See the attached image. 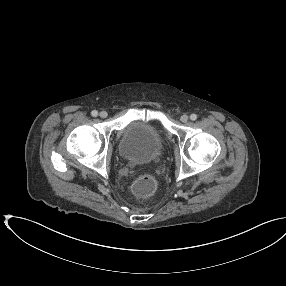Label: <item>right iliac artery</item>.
<instances>
[{
	"label": "right iliac artery",
	"instance_id": "right-iliac-artery-1",
	"mask_svg": "<svg viewBox=\"0 0 286 286\" xmlns=\"http://www.w3.org/2000/svg\"><path fill=\"white\" fill-rule=\"evenodd\" d=\"M91 115H92L93 117H96V116L98 115V112H97L96 110H93V111L91 112Z\"/></svg>",
	"mask_w": 286,
	"mask_h": 286
}]
</instances>
